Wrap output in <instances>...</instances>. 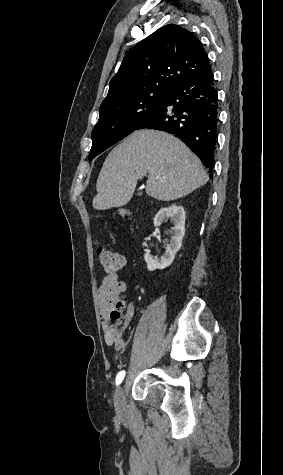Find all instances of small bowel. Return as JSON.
Returning <instances> with one entry per match:
<instances>
[{"instance_id":"c3829d8e","label":"small bowel","mask_w":283,"mask_h":475,"mask_svg":"<svg viewBox=\"0 0 283 475\" xmlns=\"http://www.w3.org/2000/svg\"><path fill=\"white\" fill-rule=\"evenodd\" d=\"M125 282L119 280L113 273L107 274L97 287V304L105 344L115 351L124 348L123 330L131 322L135 308L129 304L123 318L120 311H114L116 304L124 298Z\"/></svg>"}]
</instances>
